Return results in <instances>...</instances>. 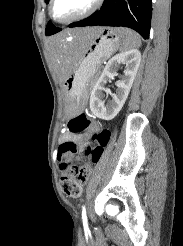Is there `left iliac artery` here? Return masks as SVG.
I'll use <instances>...</instances> for the list:
<instances>
[{
  "label": "left iliac artery",
  "mask_w": 183,
  "mask_h": 246,
  "mask_svg": "<svg viewBox=\"0 0 183 246\" xmlns=\"http://www.w3.org/2000/svg\"><path fill=\"white\" fill-rule=\"evenodd\" d=\"M82 221L84 228H88L87 216H86V207L85 205L82 207Z\"/></svg>",
  "instance_id": "1"
}]
</instances>
